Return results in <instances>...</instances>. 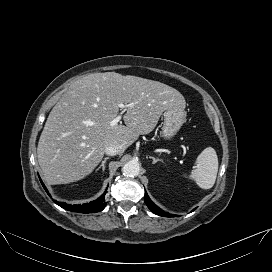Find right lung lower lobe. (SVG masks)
I'll return each instance as SVG.
<instances>
[{"label":"right lung lower lobe","mask_w":272,"mask_h":272,"mask_svg":"<svg viewBox=\"0 0 272 272\" xmlns=\"http://www.w3.org/2000/svg\"><path fill=\"white\" fill-rule=\"evenodd\" d=\"M40 181H41V179H40ZM41 183L49 195V192L47 191V189L42 181H41ZM105 194H106V191L97 200L92 201L90 203H85L82 205H69L64 202H58V201H55V203L58 204L60 207L65 208L68 211L79 212V213H95V212H99L105 208V206H106V202L104 199Z\"/></svg>","instance_id":"obj_1"}]
</instances>
